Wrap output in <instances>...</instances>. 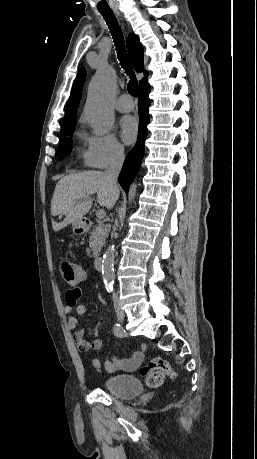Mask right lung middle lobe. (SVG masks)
<instances>
[{
  "label": "right lung middle lobe",
  "mask_w": 257,
  "mask_h": 459,
  "mask_svg": "<svg viewBox=\"0 0 257 459\" xmlns=\"http://www.w3.org/2000/svg\"><path fill=\"white\" fill-rule=\"evenodd\" d=\"M74 130H75V126L60 132L61 135H60V141H59V146H58V151H57V155L59 156L60 159L65 157L72 148V136H73Z\"/></svg>",
  "instance_id": "right-lung-middle-lobe-1"
}]
</instances>
